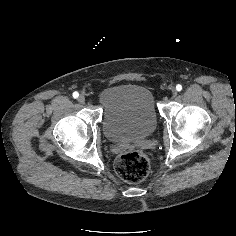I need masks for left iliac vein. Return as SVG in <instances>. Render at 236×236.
<instances>
[{"mask_svg":"<svg viewBox=\"0 0 236 236\" xmlns=\"http://www.w3.org/2000/svg\"><path fill=\"white\" fill-rule=\"evenodd\" d=\"M177 92H176V90L174 89V88H172V95H171V98L172 99H175V98H177Z\"/></svg>","mask_w":236,"mask_h":236,"instance_id":"obj_1","label":"left iliac vein"}]
</instances>
